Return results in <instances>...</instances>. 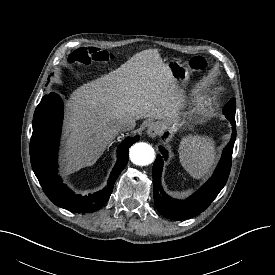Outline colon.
I'll return each instance as SVG.
<instances>
[{
	"mask_svg": "<svg viewBox=\"0 0 275 275\" xmlns=\"http://www.w3.org/2000/svg\"><path fill=\"white\" fill-rule=\"evenodd\" d=\"M113 59V55L99 48H80L75 50L68 61L72 64L92 65L95 63H106ZM207 61L202 57H193L190 66L193 71L200 72L207 67Z\"/></svg>",
	"mask_w": 275,
	"mask_h": 275,
	"instance_id": "obj_1",
	"label": "colon"
}]
</instances>
